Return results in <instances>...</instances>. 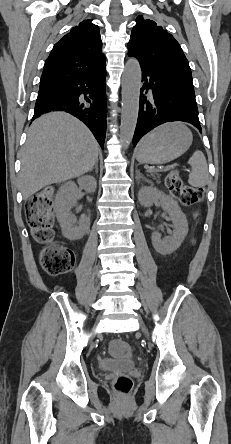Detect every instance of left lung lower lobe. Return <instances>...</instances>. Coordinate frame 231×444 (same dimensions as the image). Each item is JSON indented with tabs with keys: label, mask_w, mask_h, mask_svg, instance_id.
Returning a JSON list of instances; mask_svg holds the SVG:
<instances>
[{
	"label": "left lung lower lobe",
	"mask_w": 231,
	"mask_h": 444,
	"mask_svg": "<svg viewBox=\"0 0 231 444\" xmlns=\"http://www.w3.org/2000/svg\"><path fill=\"white\" fill-rule=\"evenodd\" d=\"M139 117L133 137L135 146L153 128L169 121H185L201 131L193 86L177 81L175 76L152 68H141ZM143 92H149L145 96Z\"/></svg>",
	"instance_id": "0a47b994"
}]
</instances>
